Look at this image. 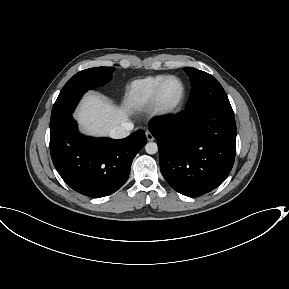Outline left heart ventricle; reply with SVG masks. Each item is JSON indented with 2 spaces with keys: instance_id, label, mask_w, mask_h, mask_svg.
<instances>
[{
  "instance_id": "b2bd125f",
  "label": "left heart ventricle",
  "mask_w": 289,
  "mask_h": 289,
  "mask_svg": "<svg viewBox=\"0 0 289 289\" xmlns=\"http://www.w3.org/2000/svg\"><path fill=\"white\" fill-rule=\"evenodd\" d=\"M181 94V85L177 80H169L162 91V101L165 104L174 103Z\"/></svg>"
}]
</instances>
